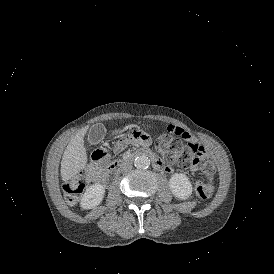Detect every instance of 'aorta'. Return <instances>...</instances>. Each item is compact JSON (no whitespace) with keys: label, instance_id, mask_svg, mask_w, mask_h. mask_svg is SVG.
I'll use <instances>...</instances> for the list:
<instances>
[{"label":"aorta","instance_id":"obj_1","mask_svg":"<svg viewBox=\"0 0 274 274\" xmlns=\"http://www.w3.org/2000/svg\"><path fill=\"white\" fill-rule=\"evenodd\" d=\"M134 165L138 169H147L150 166V160L146 156H138L134 160Z\"/></svg>","mask_w":274,"mask_h":274}]
</instances>
